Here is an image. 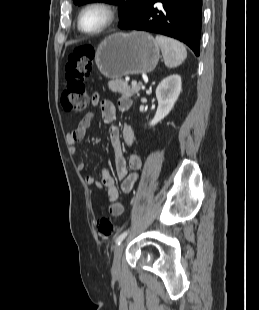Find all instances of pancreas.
Returning <instances> with one entry per match:
<instances>
[{"label":"pancreas","mask_w":259,"mask_h":310,"mask_svg":"<svg viewBox=\"0 0 259 310\" xmlns=\"http://www.w3.org/2000/svg\"><path fill=\"white\" fill-rule=\"evenodd\" d=\"M108 87L112 92L118 93L122 95V97H132L141 89L140 84L130 87L128 83L122 79H116L108 82Z\"/></svg>","instance_id":"pancreas-1"}]
</instances>
